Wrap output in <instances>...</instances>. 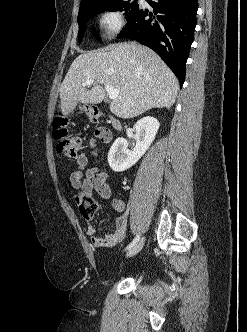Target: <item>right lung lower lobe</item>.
<instances>
[{"instance_id":"1","label":"right lung lower lobe","mask_w":247,"mask_h":332,"mask_svg":"<svg viewBox=\"0 0 247 332\" xmlns=\"http://www.w3.org/2000/svg\"><path fill=\"white\" fill-rule=\"evenodd\" d=\"M197 1H148L157 16L152 17L148 10L139 9L127 19L126 27L118 38H133L153 49L170 67L182 86L186 61L194 38ZM148 16L150 18H147Z\"/></svg>"}]
</instances>
